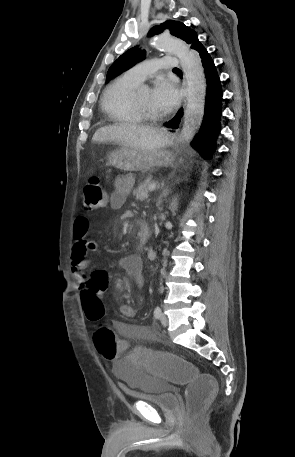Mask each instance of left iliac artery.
Listing matches in <instances>:
<instances>
[{"label":"left iliac artery","mask_w":295,"mask_h":457,"mask_svg":"<svg viewBox=\"0 0 295 457\" xmlns=\"http://www.w3.org/2000/svg\"><path fill=\"white\" fill-rule=\"evenodd\" d=\"M160 316H161V309H160L159 306H157V307L154 309V317H155L156 319H159Z\"/></svg>","instance_id":"obj_1"}]
</instances>
